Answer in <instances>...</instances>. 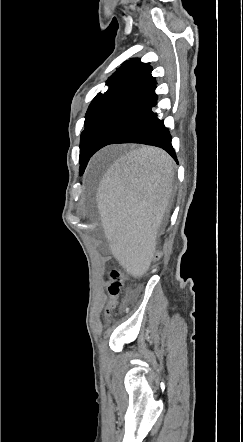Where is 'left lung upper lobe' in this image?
I'll return each mask as SVG.
<instances>
[{"instance_id":"left-lung-upper-lobe-1","label":"left lung upper lobe","mask_w":243,"mask_h":442,"mask_svg":"<svg viewBox=\"0 0 243 442\" xmlns=\"http://www.w3.org/2000/svg\"><path fill=\"white\" fill-rule=\"evenodd\" d=\"M152 67L148 63H142L139 59L126 61L106 81L107 90L98 93L93 99L85 116V130L80 139V175L83 174L87 163L83 159L85 149L90 142L100 122L126 94L140 85L150 74Z\"/></svg>"}]
</instances>
